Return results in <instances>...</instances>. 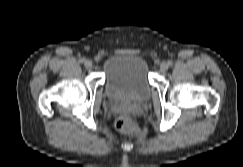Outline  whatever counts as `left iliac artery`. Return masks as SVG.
I'll use <instances>...</instances> for the list:
<instances>
[{"label":"left iliac artery","mask_w":243,"mask_h":167,"mask_svg":"<svg viewBox=\"0 0 243 167\" xmlns=\"http://www.w3.org/2000/svg\"><path fill=\"white\" fill-rule=\"evenodd\" d=\"M172 64H173L172 61H168L169 66H172Z\"/></svg>","instance_id":"1"}]
</instances>
